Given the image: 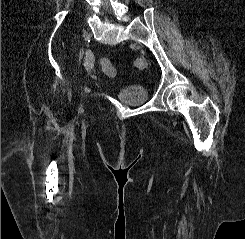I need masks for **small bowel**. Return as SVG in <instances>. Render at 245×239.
Masks as SVG:
<instances>
[{
    "instance_id": "small-bowel-1",
    "label": "small bowel",
    "mask_w": 245,
    "mask_h": 239,
    "mask_svg": "<svg viewBox=\"0 0 245 239\" xmlns=\"http://www.w3.org/2000/svg\"><path fill=\"white\" fill-rule=\"evenodd\" d=\"M86 67H87V70L90 73V75L92 77H96L97 69L95 67L94 57L92 55L88 56L87 62H86Z\"/></svg>"
}]
</instances>
